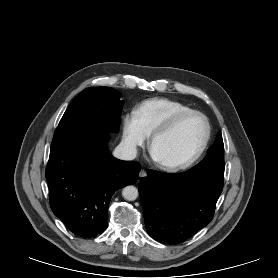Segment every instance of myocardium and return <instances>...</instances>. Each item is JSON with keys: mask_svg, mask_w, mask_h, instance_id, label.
<instances>
[{"mask_svg": "<svg viewBox=\"0 0 278 278\" xmlns=\"http://www.w3.org/2000/svg\"><path fill=\"white\" fill-rule=\"evenodd\" d=\"M190 115L200 116L204 120V123H205V128H206L205 135H204V138H203L199 148L190 157H188L184 160H181V161L164 162V161L158 160L153 154V147H154V144L156 143V141L159 138L170 133L172 130H174L175 127L180 123V121L182 119H184L185 117L190 116ZM210 138H211V124H210L208 117L201 111L190 109V110H186V111H183V112H180V113L174 115L166 123H164L163 125L158 127L152 133L149 149H150V153H151L154 161L160 168H162L166 171H179V170H183V169L190 167L203 155V153L205 152V150L209 144Z\"/></svg>", "mask_w": 278, "mask_h": 278, "instance_id": "myocardium-1", "label": "myocardium"}]
</instances>
